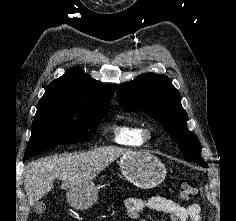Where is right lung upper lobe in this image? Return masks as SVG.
Wrapping results in <instances>:
<instances>
[{
	"instance_id": "obj_1",
	"label": "right lung upper lobe",
	"mask_w": 236,
	"mask_h": 221,
	"mask_svg": "<svg viewBox=\"0 0 236 221\" xmlns=\"http://www.w3.org/2000/svg\"><path fill=\"white\" fill-rule=\"evenodd\" d=\"M114 91V85H102L79 69L70 68L47 86L38 104H109Z\"/></svg>"
}]
</instances>
